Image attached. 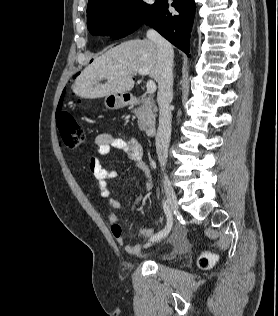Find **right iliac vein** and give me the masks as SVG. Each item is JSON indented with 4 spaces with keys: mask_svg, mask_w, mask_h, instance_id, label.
Returning <instances> with one entry per match:
<instances>
[{
    "mask_svg": "<svg viewBox=\"0 0 278 316\" xmlns=\"http://www.w3.org/2000/svg\"><path fill=\"white\" fill-rule=\"evenodd\" d=\"M163 183H164V188H165V193H166V198H167V204H168L170 212L173 213L178 210L177 196L168 177L165 176L163 178Z\"/></svg>",
    "mask_w": 278,
    "mask_h": 316,
    "instance_id": "1",
    "label": "right iliac vein"
}]
</instances>
